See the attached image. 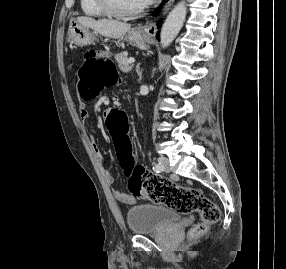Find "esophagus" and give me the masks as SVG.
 Returning <instances> with one entry per match:
<instances>
[{
  "instance_id": "34e87169",
  "label": "esophagus",
  "mask_w": 286,
  "mask_h": 269,
  "mask_svg": "<svg viewBox=\"0 0 286 269\" xmlns=\"http://www.w3.org/2000/svg\"><path fill=\"white\" fill-rule=\"evenodd\" d=\"M175 0H168L162 10V15H165L167 11L170 9L171 5L174 3ZM137 29L143 32L145 35L149 37H154L157 32L156 22H149L144 25H139Z\"/></svg>"
}]
</instances>
